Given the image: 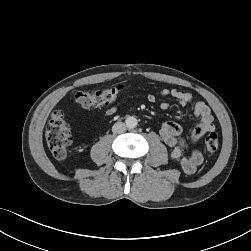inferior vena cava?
I'll list each match as a JSON object with an SVG mask.
<instances>
[{
	"instance_id": "obj_1",
	"label": "inferior vena cava",
	"mask_w": 251,
	"mask_h": 251,
	"mask_svg": "<svg viewBox=\"0 0 251 251\" xmlns=\"http://www.w3.org/2000/svg\"><path fill=\"white\" fill-rule=\"evenodd\" d=\"M126 125L123 122H116L112 127V132L115 134H121L125 132Z\"/></svg>"
}]
</instances>
